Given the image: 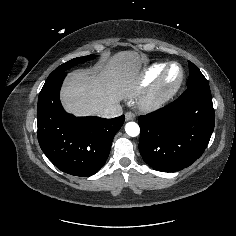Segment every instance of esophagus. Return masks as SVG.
Instances as JSON below:
<instances>
[{
	"label": "esophagus",
	"mask_w": 236,
	"mask_h": 236,
	"mask_svg": "<svg viewBox=\"0 0 236 236\" xmlns=\"http://www.w3.org/2000/svg\"><path fill=\"white\" fill-rule=\"evenodd\" d=\"M125 119H126V121L134 120L135 114L133 112H127V113H125Z\"/></svg>",
	"instance_id": "obj_1"
}]
</instances>
